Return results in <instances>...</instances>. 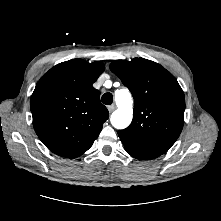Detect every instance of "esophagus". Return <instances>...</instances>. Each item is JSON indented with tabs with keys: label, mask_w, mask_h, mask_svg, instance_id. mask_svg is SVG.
<instances>
[{
	"label": "esophagus",
	"mask_w": 221,
	"mask_h": 221,
	"mask_svg": "<svg viewBox=\"0 0 221 221\" xmlns=\"http://www.w3.org/2000/svg\"><path fill=\"white\" fill-rule=\"evenodd\" d=\"M107 108H108V111L111 113V112H113L115 110L116 105L112 104V105H109Z\"/></svg>",
	"instance_id": "1"
}]
</instances>
